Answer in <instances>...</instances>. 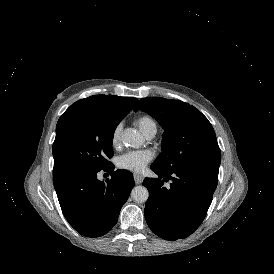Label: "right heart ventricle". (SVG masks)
Here are the masks:
<instances>
[{"label": "right heart ventricle", "mask_w": 274, "mask_h": 274, "mask_svg": "<svg viewBox=\"0 0 274 274\" xmlns=\"http://www.w3.org/2000/svg\"><path fill=\"white\" fill-rule=\"evenodd\" d=\"M137 124L143 133L150 125L155 124V122L149 116H141L137 119Z\"/></svg>", "instance_id": "right-heart-ventricle-1"}]
</instances>
